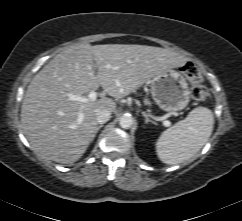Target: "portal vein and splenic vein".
<instances>
[{
  "label": "portal vein and splenic vein",
  "instance_id": "obj_1",
  "mask_svg": "<svg viewBox=\"0 0 242 221\" xmlns=\"http://www.w3.org/2000/svg\"><path fill=\"white\" fill-rule=\"evenodd\" d=\"M70 100L73 101H79L81 103L87 102L89 100L94 101L97 98V93L95 91H91L88 94V97H83V96H77V95H70L69 96ZM82 121V116L80 115L78 122L80 123ZM164 125L166 127H169L171 125V123L169 121H164Z\"/></svg>",
  "mask_w": 242,
  "mask_h": 221
}]
</instances>
